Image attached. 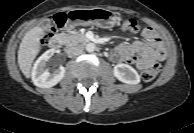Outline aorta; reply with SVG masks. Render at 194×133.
<instances>
[{"instance_id": "obj_1", "label": "aorta", "mask_w": 194, "mask_h": 133, "mask_svg": "<svg viewBox=\"0 0 194 133\" xmlns=\"http://www.w3.org/2000/svg\"><path fill=\"white\" fill-rule=\"evenodd\" d=\"M95 49H96V46H95L94 43H88V44H86V50L88 52H93V51H95Z\"/></svg>"}]
</instances>
